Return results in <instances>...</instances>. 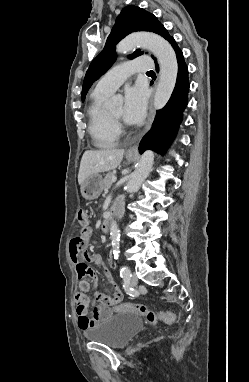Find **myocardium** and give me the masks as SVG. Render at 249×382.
<instances>
[{
	"label": "myocardium",
	"instance_id": "myocardium-1",
	"mask_svg": "<svg viewBox=\"0 0 249 382\" xmlns=\"http://www.w3.org/2000/svg\"><path fill=\"white\" fill-rule=\"evenodd\" d=\"M109 116L112 119V121L116 124L117 127L121 126V120L120 119L113 117L111 114H109Z\"/></svg>",
	"mask_w": 249,
	"mask_h": 382
}]
</instances>
